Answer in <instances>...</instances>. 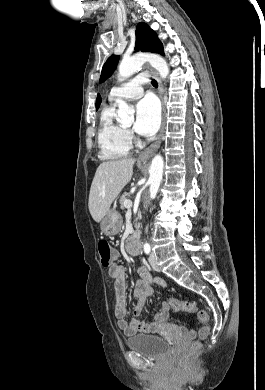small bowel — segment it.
Wrapping results in <instances>:
<instances>
[{
  "mask_svg": "<svg viewBox=\"0 0 265 390\" xmlns=\"http://www.w3.org/2000/svg\"><path fill=\"white\" fill-rule=\"evenodd\" d=\"M118 256L114 252V257ZM109 276L114 280L115 290V316L117 326L127 335L136 333H155L158 332L166 323L169 316L170 305L168 302H162L159 310L154 314L153 320L150 323H145L138 319L142 314L147 299L152 295V286H160L164 288L166 283L160 278H153L145 268L139 269L140 279L135 284L133 296L136 299V304L133 308L134 317L128 321L126 319V271L122 265H112L108 270ZM180 335L187 338H194L196 331L193 327L179 326L174 327Z\"/></svg>",
  "mask_w": 265,
  "mask_h": 390,
  "instance_id": "1",
  "label": "small bowel"
}]
</instances>
